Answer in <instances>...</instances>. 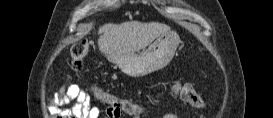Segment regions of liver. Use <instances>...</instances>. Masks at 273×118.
Instances as JSON below:
<instances>
[{
  "mask_svg": "<svg viewBox=\"0 0 273 118\" xmlns=\"http://www.w3.org/2000/svg\"><path fill=\"white\" fill-rule=\"evenodd\" d=\"M169 31V26L158 22L108 23L99 29L102 35L98 39V46L108 56L131 54L146 48L161 34ZM64 91L65 88L62 87L60 93L63 94Z\"/></svg>",
  "mask_w": 273,
  "mask_h": 118,
  "instance_id": "6515ba94",
  "label": "liver"
}]
</instances>
